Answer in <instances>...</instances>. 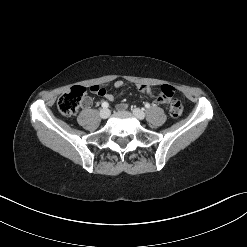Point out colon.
Segmentation results:
<instances>
[{"mask_svg": "<svg viewBox=\"0 0 247 247\" xmlns=\"http://www.w3.org/2000/svg\"><path fill=\"white\" fill-rule=\"evenodd\" d=\"M103 86L98 85L91 87V90L99 89ZM133 89H136L139 93V97L142 99L144 95L154 98L155 101L163 105L168 98L175 94L174 88L171 85H159L155 88L153 86L146 85V81L142 80L141 83L137 82L132 85ZM86 89L82 86L72 87L69 91L62 94L57 102L59 112L65 117H71L75 115L80 105L85 101ZM183 112V103L177 98L173 97L169 105V113L173 118H179Z\"/></svg>", "mask_w": 247, "mask_h": 247, "instance_id": "colon-1", "label": "colon"}]
</instances>
